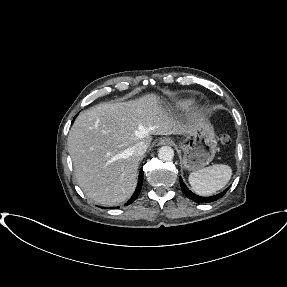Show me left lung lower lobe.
<instances>
[{
    "label": "left lung lower lobe",
    "instance_id": "1",
    "mask_svg": "<svg viewBox=\"0 0 287 287\" xmlns=\"http://www.w3.org/2000/svg\"><path fill=\"white\" fill-rule=\"evenodd\" d=\"M180 186H181V189L182 191L184 192V194L189 198L191 199L192 201L194 202H197V203H209V202H213V201H216L218 200L219 198H222L223 195L226 193V191L228 190L225 189L222 193H219L217 195H214V196H211V197H201V196H198L194 193H192L186 186L185 184L183 183L181 177H180Z\"/></svg>",
    "mask_w": 287,
    "mask_h": 287
}]
</instances>
